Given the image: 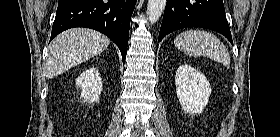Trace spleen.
Instances as JSON below:
<instances>
[{
	"label": "spleen",
	"mask_w": 280,
	"mask_h": 137,
	"mask_svg": "<svg viewBox=\"0 0 280 137\" xmlns=\"http://www.w3.org/2000/svg\"><path fill=\"white\" fill-rule=\"evenodd\" d=\"M174 45L189 56L204 55L225 66L230 65V55L224 44L212 33L204 30H187L174 40Z\"/></svg>",
	"instance_id": "spleen-1"
}]
</instances>
